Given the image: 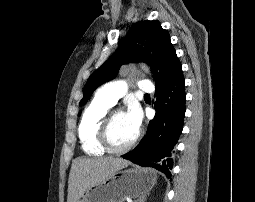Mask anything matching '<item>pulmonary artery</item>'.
<instances>
[{"mask_svg": "<svg viewBox=\"0 0 255 202\" xmlns=\"http://www.w3.org/2000/svg\"><path fill=\"white\" fill-rule=\"evenodd\" d=\"M137 87L145 93H152L154 91V86L148 79L138 80ZM127 90L128 85L126 81L115 80L101 86L96 95L112 106L126 94Z\"/></svg>", "mask_w": 255, "mask_h": 202, "instance_id": "obj_1", "label": "pulmonary artery"}]
</instances>
